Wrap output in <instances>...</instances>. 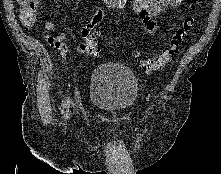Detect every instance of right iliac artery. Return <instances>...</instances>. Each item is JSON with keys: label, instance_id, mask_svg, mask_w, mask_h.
Returning a JSON list of instances; mask_svg holds the SVG:
<instances>
[{"label": "right iliac artery", "instance_id": "right-iliac-artery-1", "mask_svg": "<svg viewBox=\"0 0 221 174\" xmlns=\"http://www.w3.org/2000/svg\"><path fill=\"white\" fill-rule=\"evenodd\" d=\"M68 108H69V98L65 100L63 105V114L65 118L68 117Z\"/></svg>", "mask_w": 221, "mask_h": 174}]
</instances>
